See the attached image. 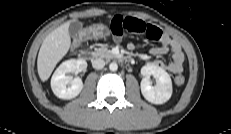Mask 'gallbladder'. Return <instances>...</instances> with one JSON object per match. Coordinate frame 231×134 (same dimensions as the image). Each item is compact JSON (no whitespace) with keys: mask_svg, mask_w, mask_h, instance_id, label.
<instances>
[{"mask_svg":"<svg viewBox=\"0 0 231 134\" xmlns=\"http://www.w3.org/2000/svg\"><path fill=\"white\" fill-rule=\"evenodd\" d=\"M82 28V24L79 21H73L70 23L69 26V33L70 35L74 36L76 35Z\"/></svg>","mask_w":231,"mask_h":134,"instance_id":"gallbladder-1","label":"gallbladder"}]
</instances>
